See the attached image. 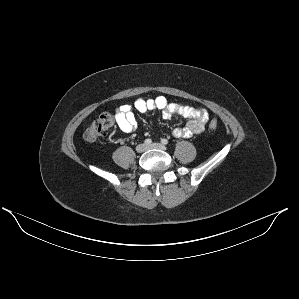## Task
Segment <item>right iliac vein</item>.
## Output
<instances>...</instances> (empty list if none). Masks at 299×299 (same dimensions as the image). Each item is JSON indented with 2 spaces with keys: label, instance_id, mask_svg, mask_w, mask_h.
Returning a JSON list of instances; mask_svg holds the SVG:
<instances>
[{
  "label": "right iliac vein",
  "instance_id": "obj_1",
  "mask_svg": "<svg viewBox=\"0 0 299 299\" xmlns=\"http://www.w3.org/2000/svg\"><path fill=\"white\" fill-rule=\"evenodd\" d=\"M146 150H147V147H146L145 144H139V145H137V147H136V151H137L138 153H143V152H145Z\"/></svg>",
  "mask_w": 299,
  "mask_h": 299
}]
</instances>
